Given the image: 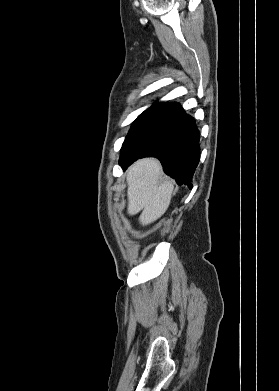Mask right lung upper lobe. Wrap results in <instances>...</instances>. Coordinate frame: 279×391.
Here are the masks:
<instances>
[{"mask_svg":"<svg viewBox=\"0 0 279 391\" xmlns=\"http://www.w3.org/2000/svg\"><path fill=\"white\" fill-rule=\"evenodd\" d=\"M174 103L156 102L149 109L164 110Z\"/></svg>","mask_w":279,"mask_h":391,"instance_id":"right-lung-upper-lobe-1","label":"right lung upper lobe"}]
</instances>
